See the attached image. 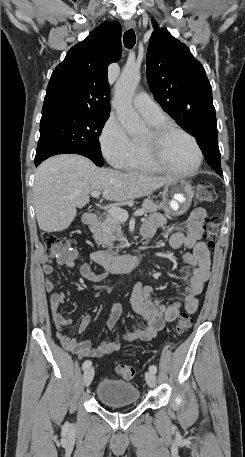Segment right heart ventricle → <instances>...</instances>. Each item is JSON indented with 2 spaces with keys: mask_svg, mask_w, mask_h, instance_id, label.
<instances>
[{
  "mask_svg": "<svg viewBox=\"0 0 245 457\" xmlns=\"http://www.w3.org/2000/svg\"><path fill=\"white\" fill-rule=\"evenodd\" d=\"M151 124H158L165 122L166 119L161 116L157 119L149 120ZM121 168L127 170H152L141 158L139 153V139L132 140V149L130 154L118 164Z\"/></svg>",
  "mask_w": 245,
  "mask_h": 457,
  "instance_id": "right-heart-ventricle-1",
  "label": "right heart ventricle"
}]
</instances>
